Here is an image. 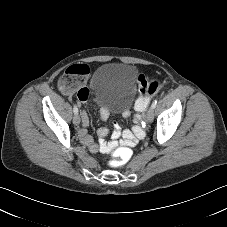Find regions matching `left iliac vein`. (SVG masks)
<instances>
[{
  "label": "left iliac vein",
  "mask_w": 227,
  "mask_h": 227,
  "mask_svg": "<svg viewBox=\"0 0 227 227\" xmlns=\"http://www.w3.org/2000/svg\"><path fill=\"white\" fill-rule=\"evenodd\" d=\"M153 119H154V109L150 107L146 114V121L148 123H151Z\"/></svg>",
  "instance_id": "4c4485c4"
}]
</instances>
